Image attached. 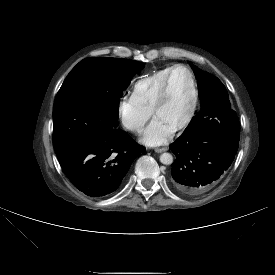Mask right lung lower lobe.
<instances>
[{
  "label": "right lung lower lobe",
  "mask_w": 275,
  "mask_h": 275,
  "mask_svg": "<svg viewBox=\"0 0 275 275\" xmlns=\"http://www.w3.org/2000/svg\"><path fill=\"white\" fill-rule=\"evenodd\" d=\"M126 132L113 129L70 142L55 151L70 181L91 197L115 191L134 159L143 151Z\"/></svg>",
  "instance_id": "1"
}]
</instances>
